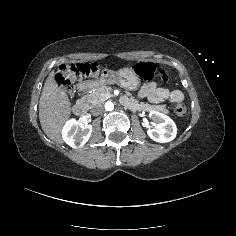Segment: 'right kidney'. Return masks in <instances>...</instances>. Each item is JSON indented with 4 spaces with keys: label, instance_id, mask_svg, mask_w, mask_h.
Instances as JSON below:
<instances>
[{
    "label": "right kidney",
    "instance_id": "right-kidney-1",
    "mask_svg": "<svg viewBox=\"0 0 236 236\" xmlns=\"http://www.w3.org/2000/svg\"><path fill=\"white\" fill-rule=\"evenodd\" d=\"M92 125L84 124L75 119L66 122L62 129L63 140L72 148H80L89 140Z\"/></svg>",
    "mask_w": 236,
    "mask_h": 236
}]
</instances>
